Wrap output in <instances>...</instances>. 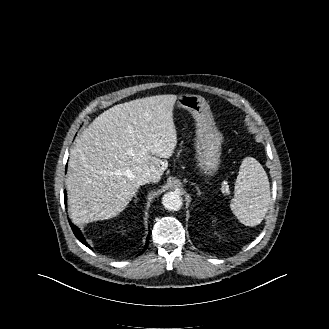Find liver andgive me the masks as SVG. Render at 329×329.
<instances>
[{
	"instance_id": "obj_1",
	"label": "liver",
	"mask_w": 329,
	"mask_h": 329,
	"mask_svg": "<svg viewBox=\"0 0 329 329\" xmlns=\"http://www.w3.org/2000/svg\"><path fill=\"white\" fill-rule=\"evenodd\" d=\"M177 96L156 95L117 104L77 137L65 185L75 223L110 219L122 212L150 171L158 182L177 145ZM154 182V183H155Z\"/></svg>"
}]
</instances>
